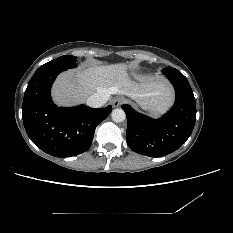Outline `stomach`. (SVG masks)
<instances>
[{"mask_svg":"<svg viewBox=\"0 0 233 233\" xmlns=\"http://www.w3.org/2000/svg\"><path fill=\"white\" fill-rule=\"evenodd\" d=\"M143 109L147 110L151 115L157 116L160 113L163 112L164 109H160L154 106H142L140 105Z\"/></svg>","mask_w":233,"mask_h":233,"instance_id":"obj_1","label":"stomach"}]
</instances>
